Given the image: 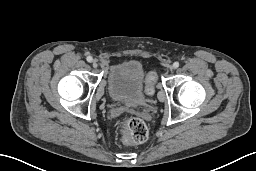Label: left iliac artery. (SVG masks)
Wrapping results in <instances>:
<instances>
[{"label":"left iliac artery","mask_w":256,"mask_h":171,"mask_svg":"<svg viewBox=\"0 0 256 171\" xmlns=\"http://www.w3.org/2000/svg\"><path fill=\"white\" fill-rule=\"evenodd\" d=\"M173 66H174V68H178L179 67V62H174Z\"/></svg>","instance_id":"obj_1"}]
</instances>
